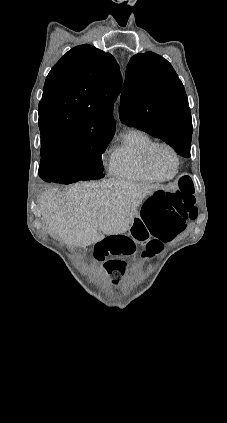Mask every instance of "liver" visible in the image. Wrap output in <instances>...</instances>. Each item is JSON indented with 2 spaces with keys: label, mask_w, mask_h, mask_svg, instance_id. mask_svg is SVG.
Segmentation results:
<instances>
[{
  "label": "liver",
  "mask_w": 227,
  "mask_h": 423,
  "mask_svg": "<svg viewBox=\"0 0 227 423\" xmlns=\"http://www.w3.org/2000/svg\"><path fill=\"white\" fill-rule=\"evenodd\" d=\"M159 188L148 182L108 180L72 184L61 194L47 190L39 200L42 221L68 247H86L105 235L130 229L144 198Z\"/></svg>",
  "instance_id": "obj_1"
}]
</instances>
